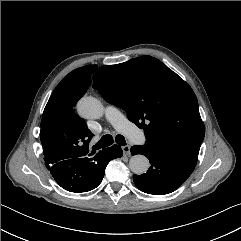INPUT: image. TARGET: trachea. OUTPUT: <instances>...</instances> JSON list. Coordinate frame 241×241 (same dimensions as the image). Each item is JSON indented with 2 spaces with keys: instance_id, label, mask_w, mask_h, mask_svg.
Here are the masks:
<instances>
[{
  "instance_id": "3493384b",
  "label": "trachea",
  "mask_w": 241,
  "mask_h": 241,
  "mask_svg": "<svg viewBox=\"0 0 241 241\" xmlns=\"http://www.w3.org/2000/svg\"><path fill=\"white\" fill-rule=\"evenodd\" d=\"M115 141L120 146L126 145L125 138L120 134H118L115 137ZM111 144H113V137L110 134H106L99 140V142L94 146V148L95 149L105 148L110 146Z\"/></svg>"
}]
</instances>
